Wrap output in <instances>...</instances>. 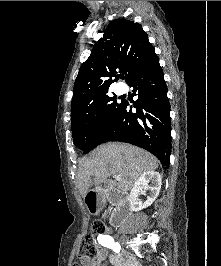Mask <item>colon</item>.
I'll return each instance as SVG.
<instances>
[{
  "label": "colon",
  "instance_id": "5ec220e1",
  "mask_svg": "<svg viewBox=\"0 0 221 266\" xmlns=\"http://www.w3.org/2000/svg\"><path fill=\"white\" fill-rule=\"evenodd\" d=\"M107 227L103 220L97 219L93 222L92 231L95 234L105 233ZM98 254L94 238L92 234L84 235L79 243L78 257L81 261H93L96 259Z\"/></svg>",
  "mask_w": 221,
  "mask_h": 266
}]
</instances>
